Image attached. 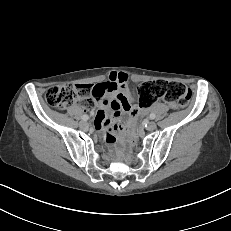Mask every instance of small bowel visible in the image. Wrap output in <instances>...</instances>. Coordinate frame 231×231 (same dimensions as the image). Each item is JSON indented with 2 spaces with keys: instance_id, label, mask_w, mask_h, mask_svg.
I'll return each instance as SVG.
<instances>
[{
  "instance_id": "1",
  "label": "small bowel",
  "mask_w": 231,
  "mask_h": 231,
  "mask_svg": "<svg viewBox=\"0 0 231 231\" xmlns=\"http://www.w3.org/2000/svg\"><path fill=\"white\" fill-rule=\"evenodd\" d=\"M91 95L102 103L97 113L95 128L97 131L107 130L110 132L108 141L115 140L118 118L125 112L137 111L132 103L131 92L128 89V77L124 73H112L105 82L90 85ZM117 95L110 98V95Z\"/></svg>"
}]
</instances>
